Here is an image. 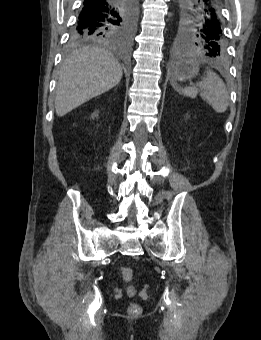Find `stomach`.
<instances>
[{
  "label": "stomach",
  "mask_w": 261,
  "mask_h": 340,
  "mask_svg": "<svg viewBox=\"0 0 261 340\" xmlns=\"http://www.w3.org/2000/svg\"><path fill=\"white\" fill-rule=\"evenodd\" d=\"M199 72V67L194 60H185L178 63L171 72L174 81H184L192 79Z\"/></svg>",
  "instance_id": "stomach-1"
}]
</instances>
